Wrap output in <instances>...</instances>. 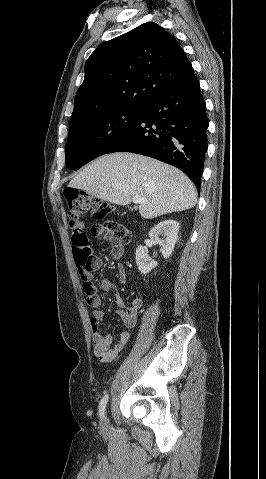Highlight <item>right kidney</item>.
I'll list each match as a JSON object with an SVG mask.
<instances>
[{
	"mask_svg": "<svg viewBox=\"0 0 266 479\" xmlns=\"http://www.w3.org/2000/svg\"><path fill=\"white\" fill-rule=\"evenodd\" d=\"M178 231L179 223L172 219L164 220L150 230L149 237L156 240L162 247L161 251L164 258H168L172 254L177 242ZM160 235L163 237L162 239L159 238ZM135 255L138 270L144 275L158 265L157 262L148 258L144 247L141 245L137 247Z\"/></svg>",
	"mask_w": 266,
	"mask_h": 479,
	"instance_id": "right-kidney-1",
	"label": "right kidney"
}]
</instances>
